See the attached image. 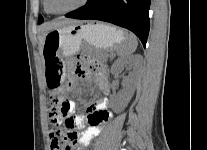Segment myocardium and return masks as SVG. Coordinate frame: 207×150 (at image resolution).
Listing matches in <instances>:
<instances>
[{
    "label": "myocardium",
    "mask_w": 207,
    "mask_h": 150,
    "mask_svg": "<svg viewBox=\"0 0 207 150\" xmlns=\"http://www.w3.org/2000/svg\"><path fill=\"white\" fill-rule=\"evenodd\" d=\"M88 2H89V0H82L79 4H77L76 6L70 8L68 10L55 11L50 6V0H44L45 6H46V9L48 10V12L51 13V14H56V15H64V14H68V13H71L73 11H76V10L82 8L83 6H85Z\"/></svg>",
    "instance_id": "f54148a6"
}]
</instances>
